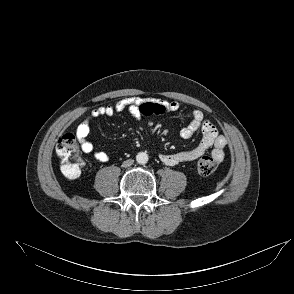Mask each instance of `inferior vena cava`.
<instances>
[{
  "label": "inferior vena cava",
  "instance_id": "602c4592",
  "mask_svg": "<svg viewBox=\"0 0 294 294\" xmlns=\"http://www.w3.org/2000/svg\"><path fill=\"white\" fill-rule=\"evenodd\" d=\"M133 162H134V160L128 159L122 163V167H124V168L129 167L133 164Z\"/></svg>",
  "mask_w": 294,
  "mask_h": 294
}]
</instances>
